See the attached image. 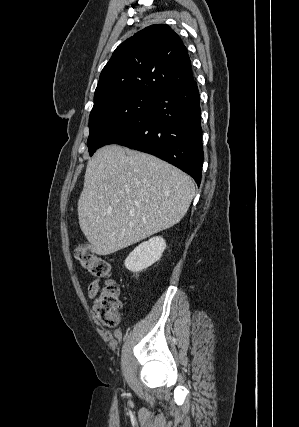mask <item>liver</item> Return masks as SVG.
Instances as JSON below:
<instances>
[{"mask_svg":"<svg viewBox=\"0 0 299 427\" xmlns=\"http://www.w3.org/2000/svg\"><path fill=\"white\" fill-rule=\"evenodd\" d=\"M195 194L193 180L171 164L119 145L88 161L78 218L91 252L109 255L177 224Z\"/></svg>","mask_w":299,"mask_h":427,"instance_id":"6515ba94","label":"liver"}]
</instances>
